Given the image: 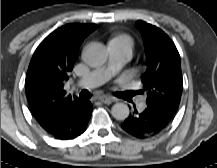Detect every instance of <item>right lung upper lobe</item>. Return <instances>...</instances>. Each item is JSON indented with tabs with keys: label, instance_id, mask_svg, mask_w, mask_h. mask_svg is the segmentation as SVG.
I'll return each instance as SVG.
<instances>
[{
	"label": "right lung upper lobe",
	"instance_id": "cb5924a9",
	"mask_svg": "<svg viewBox=\"0 0 217 168\" xmlns=\"http://www.w3.org/2000/svg\"><path fill=\"white\" fill-rule=\"evenodd\" d=\"M96 24H67L48 35L35 50L26 74L28 104L38 123H51L64 109L85 100L67 95L64 84L69 78L83 40Z\"/></svg>",
	"mask_w": 217,
	"mask_h": 168
}]
</instances>
